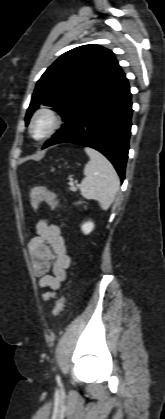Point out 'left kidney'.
<instances>
[{
	"label": "left kidney",
	"instance_id": "5707ae66",
	"mask_svg": "<svg viewBox=\"0 0 165 419\" xmlns=\"http://www.w3.org/2000/svg\"><path fill=\"white\" fill-rule=\"evenodd\" d=\"M84 234H89L94 229V224L91 221L85 222L82 226Z\"/></svg>",
	"mask_w": 165,
	"mask_h": 419
}]
</instances>
